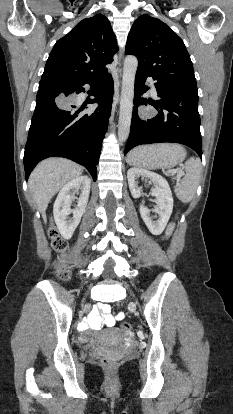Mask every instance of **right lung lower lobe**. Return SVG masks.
<instances>
[{
    "label": "right lung lower lobe",
    "mask_w": 233,
    "mask_h": 414,
    "mask_svg": "<svg viewBox=\"0 0 233 414\" xmlns=\"http://www.w3.org/2000/svg\"><path fill=\"white\" fill-rule=\"evenodd\" d=\"M66 82L69 84L65 86L39 87L24 153L26 180L38 162L59 156L85 166L96 181V166L111 113L113 79L107 72L97 78ZM85 84L95 88V98L88 103L99 106L92 111L86 110V103L80 106L74 101L76 94L85 92Z\"/></svg>",
    "instance_id": "right-lung-lower-lobe-1"
}]
</instances>
